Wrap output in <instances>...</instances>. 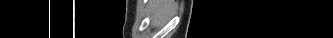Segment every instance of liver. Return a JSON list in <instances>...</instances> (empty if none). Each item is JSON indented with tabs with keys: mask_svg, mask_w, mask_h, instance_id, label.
Returning <instances> with one entry per match:
<instances>
[{
	"mask_svg": "<svg viewBox=\"0 0 333 38\" xmlns=\"http://www.w3.org/2000/svg\"><path fill=\"white\" fill-rule=\"evenodd\" d=\"M169 5L170 4L168 2H161V3L157 4L155 7V10H154L155 18H158L161 15H163L165 12H167Z\"/></svg>",
	"mask_w": 333,
	"mask_h": 38,
	"instance_id": "liver-1",
	"label": "liver"
}]
</instances>
